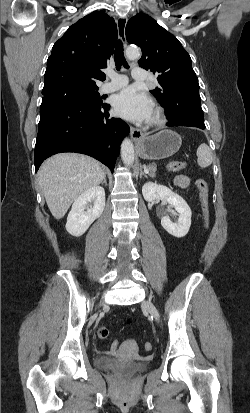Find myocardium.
<instances>
[{
	"mask_svg": "<svg viewBox=\"0 0 250 413\" xmlns=\"http://www.w3.org/2000/svg\"><path fill=\"white\" fill-rule=\"evenodd\" d=\"M165 121H166L165 109L159 104H154L153 110H152V116L150 119V125L161 126L165 123Z\"/></svg>",
	"mask_w": 250,
	"mask_h": 413,
	"instance_id": "f54148a6",
	"label": "myocardium"
}]
</instances>
